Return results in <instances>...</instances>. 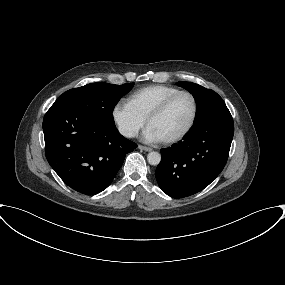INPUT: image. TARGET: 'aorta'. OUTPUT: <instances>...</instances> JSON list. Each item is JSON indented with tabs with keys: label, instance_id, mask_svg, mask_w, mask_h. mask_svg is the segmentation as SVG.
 I'll return each mask as SVG.
<instances>
[{
	"label": "aorta",
	"instance_id": "762f6f07",
	"mask_svg": "<svg viewBox=\"0 0 285 285\" xmlns=\"http://www.w3.org/2000/svg\"><path fill=\"white\" fill-rule=\"evenodd\" d=\"M147 161L150 165H158L161 161V155L158 152H150L147 156Z\"/></svg>",
	"mask_w": 285,
	"mask_h": 285
}]
</instances>
